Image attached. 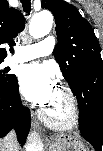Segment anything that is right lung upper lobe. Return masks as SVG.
<instances>
[{"label": "right lung upper lobe", "mask_w": 103, "mask_h": 151, "mask_svg": "<svg viewBox=\"0 0 103 151\" xmlns=\"http://www.w3.org/2000/svg\"><path fill=\"white\" fill-rule=\"evenodd\" d=\"M24 20L21 13L14 9L9 8L7 0H0V45L8 43L13 45V38L24 29ZM10 52L13 49L10 48ZM7 52L4 48H0V60H4Z\"/></svg>", "instance_id": "right-lung-upper-lobe-1"}]
</instances>
